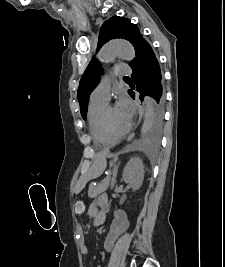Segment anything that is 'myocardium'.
Segmentation results:
<instances>
[{
    "mask_svg": "<svg viewBox=\"0 0 225 267\" xmlns=\"http://www.w3.org/2000/svg\"><path fill=\"white\" fill-rule=\"evenodd\" d=\"M111 108H114L112 105H106V107L104 108L103 112H102V115H101V124H102V128L104 130V132L109 136L111 137L112 139H114L116 142L119 141L120 139L124 138L127 133L130 131L131 129V126L128 125V127L120 132V133H116L114 132L109 124H108V121H107V113L108 111L111 109Z\"/></svg>",
    "mask_w": 225,
    "mask_h": 267,
    "instance_id": "obj_1",
    "label": "myocardium"
}]
</instances>
